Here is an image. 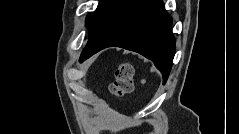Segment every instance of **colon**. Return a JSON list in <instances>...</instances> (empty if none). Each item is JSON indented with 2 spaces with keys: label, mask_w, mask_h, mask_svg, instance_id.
<instances>
[{
  "label": "colon",
  "mask_w": 239,
  "mask_h": 134,
  "mask_svg": "<svg viewBox=\"0 0 239 134\" xmlns=\"http://www.w3.org/2000/svg\"><path fill=\"white\" fill-rule=\"evenodd\" d=\"M133 66L129 62H122L116 69L115 80L110 86L114 96L121 97L133 90Z\"/></svg>",
  "instance_id": "obj_1"
}]
</instances>
